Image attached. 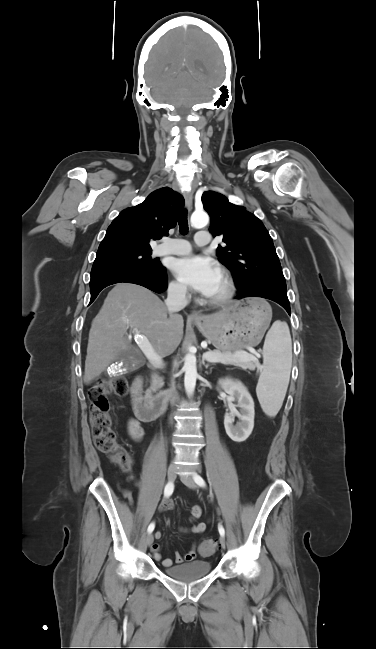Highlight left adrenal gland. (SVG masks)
Returning a JSON list of instances; mask_svg holds the SVG:
<instances>
[{
  "label": "left adrenal gland",
  "mask_w": 376,
  "mask_h": 649,
  "mask_svg": "<svg viewBox=\"0 0 376 649\" xmlns=\"http://www.w3.org/2000/svg\"><path fill=\"white\" fill-rule=\"evenodd\" d=\"M202 363H203V365L205 366L206 369H208V367L210 366V364H205L204 360L202 361Z\"/></svg>",
  "instance_id": "1"
}]
</instances>
